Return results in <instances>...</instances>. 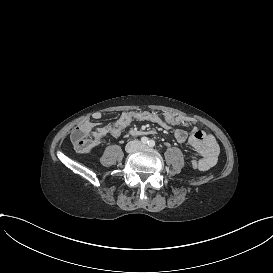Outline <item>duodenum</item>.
I'll return each instance as SVG.
<instances>
[{
  "label": "duodenum",
  "mask_w": 273,
  "mask_h": 273,
  "mask_svg": "<svg viewBox=\"0 0 273 273\" xmlns=\"http://www.w3.org/2000/svg\"><path fill=\"white\" fill-rule=\"evenodd\" d=\"M129 133L131 135L138 136V135H143L145 131L138 130V129H131Z\"/></svg>",
  "instance_id": "1"
}]
</instances>
